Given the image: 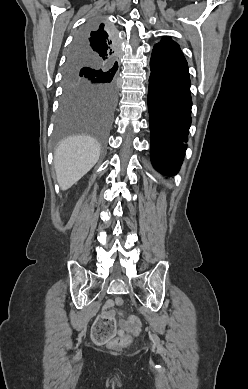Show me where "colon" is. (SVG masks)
I'll return each mask as SVG.
<instances>
[{
  "label": "colon",
  "mask_w": 248,
  "mask_h": 389,
  "mask_svg": "<svg viewBox=\"0 0 248 389\" xmlns=\"http://www.w3.org/2000/svg\"><path fill=\"white\" fill-rule=\"evenodd\" d=\"M116 304L122 307L125 304V300L122 297H118ZM115 329L116 322L114 318L101 316L93 324V336L96 338V344H108L109 348L114 351H118L126 346L130 341L128 335H122L112 340L108 337Z\"/></svg>",
  "instance_id": "1"
}]
</instances>
